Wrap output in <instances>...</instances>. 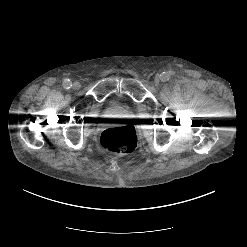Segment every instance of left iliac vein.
<instances>
[{
    "label": "left iliac vein",
    "mask_w": 247,
    "mask_h": 247,
    "mask_svg": "<svg viewBox=\"0 0 247 247\" xmlns=\"http://www.w3.org/2000/svg\"><path fill=\"white\" fill-rule=\"evenodd\" d=\"M159 83H160V78L159 77H155L154 85L157 86V85H159Z\"/></svg>",
    "instance_id": "left-iliac-vein-1"
}]
</instances>
